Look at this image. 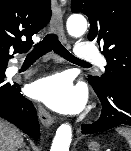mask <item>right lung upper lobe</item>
<instances>
[{
  "mask_svg": "<svg viewBox=\"0 0 131 151\" xmlns=\"http://www.w3.org/2000/svg\"><path fill=\"white\" fill-rule=\"evenodd\" d=\"M50 17V0H0V63L7 62L12 52H27L33 44L32 36Z\"/></svg>",
  "mask_w": 131,
  "mask_h": 151,
  "instance_id": "obj_1",
  "label": "right lung upper lobe"
}]
</instances>
